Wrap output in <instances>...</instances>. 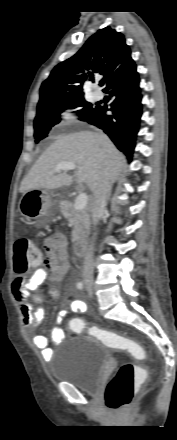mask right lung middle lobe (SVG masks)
Listing matches in <instances>:
<instances>
[{
	"label": "right lung middle lobe",
	"mask_w": 177,
	"mask_h": 440,
	"mask_svg": "<svg viewBox=\"0 0 177 440\" xmlns=\"http://www.w3.org/2000/svg\"><path fill=\"white\" fill-rule=\"evenodd\" d=\"M79 108L75 113L84 118L94 110L91 103L84 99V95L69 97L55 102L37 106V115L34 120L35 142L47 137L49 130L60 121V113L66 109Z\"/></svg>",
	"instance_id": "dd1d6c3e"
}]
</instances>
